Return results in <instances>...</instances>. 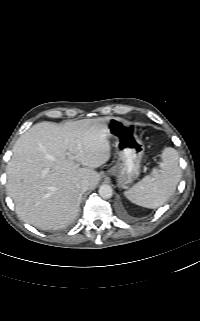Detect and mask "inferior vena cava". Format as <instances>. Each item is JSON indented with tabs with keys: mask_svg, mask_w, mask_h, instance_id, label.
Wrapping results in <instances>:
<instances>
[{
	"mask_svg": "<svg viewBox=\"0 0 200 321\" xmlns=\"http://www.w3.org/2000/svg\"><path fill=\"white\" fill-rule=\"evenodd\" d=\"M76 187L81 191L85 192L88 190V181L87 180H81L76 184Z\"/></svg>",
	"mask_w": 200,
	"mask_h": 321,
	"instance_id": "obj_1",
	"label": "inferior vena cava"
}]
</instances>
